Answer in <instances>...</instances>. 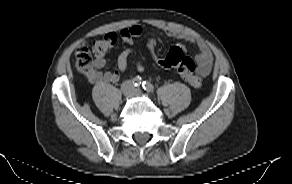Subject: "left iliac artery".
I'll return each instance as SVG.
<instances>
[{"mask_svg": "<svg viewBox=\"0 0 292 184\" xmlns=\"http://www.w3.org/2000/svg\"><path fill=\"white\" fill-rule=\"evenodd\" d=\"M142 87L145 91L149 92V93H153L154 92V86L147 82V81H143L142 82Z\"/></svg>", "mask_w": 292, "mask_h": 184, "instance_id": "left-iliac-artery-1", "label": "left iliac artery"}]
</instances>
